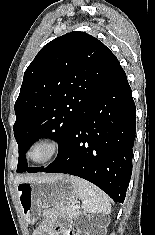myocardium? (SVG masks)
Masks as SVG:
<instances>
[{
    "instance_id": "1",
    "label": "myocardium",
    "mask_w": 155,
    "mask_h": 235,
    "mask_svg": "<svg viewBox=\"0 0 155 235\" xmlns=\"http://www.w3.org/2000/svg\"><path fill=\"white\" fill-rule=\"evenodd\" d=\"M38 146H47L49 148L48 155L42 160H35L32 157L33 150L37 148ZM63 148H64L63 141L59 137L53 136V135L43 136L35 140L29 146L27 153H26V157L30 162L34 164H38V165L47 164L49 162H52L56 158H58L63 152Z\"/></svg>"
}]
</instances>
